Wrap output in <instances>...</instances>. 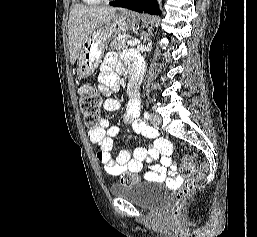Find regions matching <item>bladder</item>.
I'll return each mask as SVG.
<instances>
[{"mask_svg": "<svg viewBox=\"0 0 257 237\" xmlns=\"http://www.w3.org/2000/svg\"><path fill=\"white\" fill-rule=\"evenodd\" d=\"M113 197L123 198L132 204L146 209L156 210L168 202V191L155 185L153 181L133 182L110 187Z\"/></svg>", "mask_w": 257, "mask_h": 237, "instance_id": "1", "label": "bladder"}]
</instances>
